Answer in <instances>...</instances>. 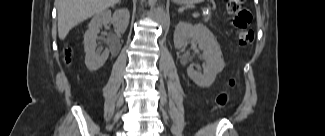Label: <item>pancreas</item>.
I'll return each mask as SVG.
<instances>
[{
  "label": "pancreas",
  "mask_w": 325,
  "mask_h": 136,
  "mask_svg": "<svg viewBox=\"0 0 325 136\" xmlns=\"http://www.w3.org/2000/svg\"><path fill=\"white\" fill-rule=\"evenodd\" d=\"M202 19H209L210 16H201Z\"/></svg>",
  "instance_id": "obj_1"
}]
</instances>
